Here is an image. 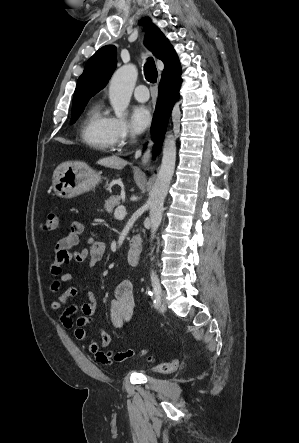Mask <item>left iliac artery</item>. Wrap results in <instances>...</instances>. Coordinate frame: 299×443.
Instances as JSON below:
<instances>
[{"mask_svg": "<svg viewBox=\"0 0 299 443\" xmlns=\"http://www.w3.org/2000/svg\"><path fill=\"white\" fill-rule=\"evenodd\" d=\"M151 283L154 291V306L157 308L161 303V286L156 273L151 274Z\"/></svg>", "mask_w": 299, "mask_h": 443, "instance_id": "44dca946", "label": "left iliac artery"}]
</instances>
